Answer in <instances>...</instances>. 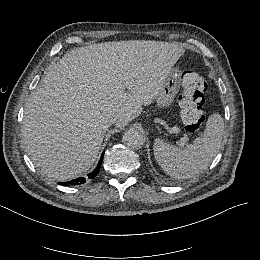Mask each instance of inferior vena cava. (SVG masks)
I'll list each match as a JSON object with an SVG mask.
<instances>
[{"label": "inferior vena cava", "mask_w": 260, "mask_h": 260, "mask_svg": "<svg viewBox=\"0 0 260 260\" xmlns=\"http://www.w3.org/2000/svg\"><path fill=\"white\" fill-rule=\"evenodd\" d=\"M107 122H108V126L110 127L111 125L116 123V118L115 117H109L107 119Z\"/></svg>", "instance_id": "inferior-vena-cava-1"}]
</instances>
